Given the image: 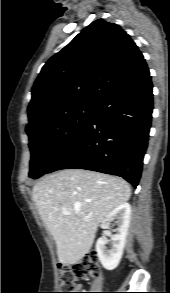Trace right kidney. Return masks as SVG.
I'll return each mask as SVG.
<instances>
[{
	"mask_svg": "<svg viewBox=\"0 0 170 293\" xmlns=\"http://www.w3.org/2000/svg\"><path fill=\"white\" fill-rule=\"evenodd\" d=\"M131 206L125 202L114 208L105 218V229L115 219L118 226L117 233L112 236V248L106 247L107 239L103 236L96 242V251L103 267L107 270L115 269L122 258L130 224Z\"/></svg>",
	"mask_w": 170,
	"mask_h": 293,
	"instance_id": "1",
	"label": "right kidney"
}]
</instances>
